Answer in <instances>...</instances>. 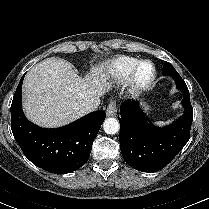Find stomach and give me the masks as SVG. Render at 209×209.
<instances>
[{
	"instance_id": "obj_1",
	"label": "stomach",
	"mask_w": 209,
	"mask_h": 209,
	"mask_svg": "<svg viewBox=\"0 0 209 209\" xmlns=\"http://www.w3.org/2000/svg\"><path fill=\"white\" fill-rule=\"evenodd\" d=\"M144 106H145V109H146V110H149V106H147V105H144Z\"/></svg>"
}]
</instances>
